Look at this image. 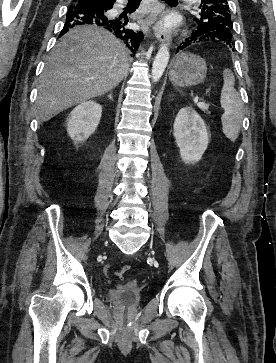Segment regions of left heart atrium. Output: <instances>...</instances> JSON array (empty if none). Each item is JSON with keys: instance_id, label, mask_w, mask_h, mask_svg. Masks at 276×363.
<instances>
[{"instance_id": "1", "label": "left heart atrium", "mask_w": 276, "mask_h": 363, "mask_svg": "<svg viewBox=\"0 0 276 363\" xmlns=\"http://www.w3.org/2000/svg\"><path fill=\"white\" fill-rule=\"evenodd\" d=\"M174 23H175L174 18L171 16H168L163 20V22L161 23V26L164 28H170L174 25Z\"/></svg>"}]
</instances>
